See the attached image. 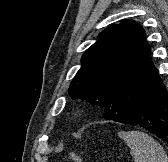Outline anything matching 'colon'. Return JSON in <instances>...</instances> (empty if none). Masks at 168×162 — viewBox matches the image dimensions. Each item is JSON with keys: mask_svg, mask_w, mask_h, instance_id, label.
<instances>
[{"mask_svg": "<svg viewBox=\"0 0 168 162\" xmlns=\"http://www.w3.org/2000/svg\"><path fill=\"white\" fill-rule=\"evenodd\" d=\"M69 162H82V158L78 154H70Z\"/></svg>", "mask_w": 168, "mask_h": 162, "instance_id": "1", "label": "colon"}]
</instances>
